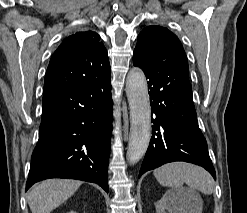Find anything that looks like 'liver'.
<instances>
[{
	"label": "liver",
	"instance_id": "liver-1",
	"mask_svg": "<svg viewBox=\"0 0 247 213\" xmlns=\"http://www.w3.org/2000/svg\"><path fill=\"white\" fill-rule=\"evenodd\" d=\"M82 184L68 179H49L31 188L28 204L32 213H50L71 197Z\"/></svg>",
	"mask_w": 247,
	"mask_h": 213
}]
</instances>
